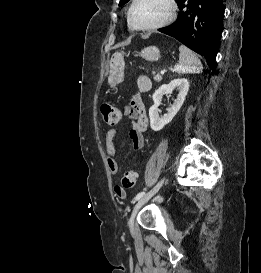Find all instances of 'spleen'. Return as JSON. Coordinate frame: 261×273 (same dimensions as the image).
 Returning <instances> with one entry per match:
<instances>
[{
  "instance_id": "spleen-1",
  "label": "spleen",
  "mask_w": 261,
  "mask_h": 273,
  "mask_svg": "<svg viewBox=\"0 0 261 273\" xmlns=\"http://www.w3.org/2000/svg\"><path fill=\"white\" fill-rule=\"evenodd\" d=\"M203 66L197 55L184 45L179 47V63L175 65L174 71L178 74L201 73Z\"/></svg>"
}]
</instances>
